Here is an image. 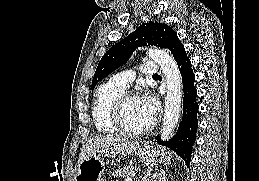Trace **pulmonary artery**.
I'll return each instance as SVG.
<instances>
[{
	"label": "pulmonary artery",
	"instance_id": "pulmonary-artery-1",
	"mask_svg": "<svg viewBox=\"0 0 259 181\" xmlns=\"http://www.w3.org/2000/svg\"><path fill=\"white\" fill-rule=\"evenodd\" d=\"M160 70L159 66L155 63L146 62L141 68V72L144 76H153ZM132 81L131 72L124 71L111 77L110 82L114 85L126 89Z\"/></svg>",
	"mask_w": 259,
	"mask_h": 181
}]
</instances>
